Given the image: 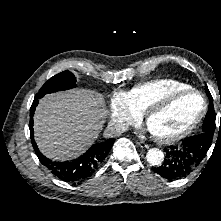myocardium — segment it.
<instances>
[{"label":"myocardium","instance_id":"myocardium-1","mask_svg":"<svg viewBox=\"0 0 221 221\" xmlns=\"http://www.w3.org/2000/svg\"><path fill=\"white\" fill-rule=\"evenodd\" d=\"M188 94L199 95L202 99V107H201L199 113L197 114V116L188 125H186L180 131H178L174 134L161 135V134H157V133H154L149 130L150 134L154 140H156L160 143H164V144H170V143L177 142V141L185 138L187 135H189L202 121V119L204 118V116L207 112V107H208L207 99L201 91L190 87L187 89L172 91V92L162 96L161 98L153 101L150 104V106L142 114L144 123L147 126L149 119L153 115L162 111L163 109H165L166 107L171 105L173 102H175L180 97L188 95Z\"/></svg>","mask_w":221,"mask_h":221}]
</instances>
